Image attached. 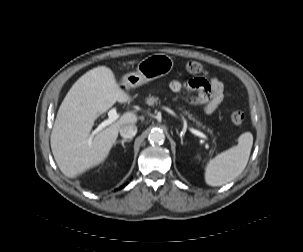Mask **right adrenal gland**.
<instances>
[{"label": "right adrenal gland", "instance_id": "right-adrenal-gland-1", "mask_svg": "<svg viewBox=\"0 0 303 252\" xmlns=\"http://www.w3.org/2000/svg\"><path fill=\"white\" fill-rule=\"evenodd\" d=\"M131 141H132V139H123V140H121V141L115 142L114 145H116V144H118V143H121L122 147L125 148L124 143H125V142H131Z\"/></svg>", "mask_w": 303, "mask_h": 252}]
</instances>
